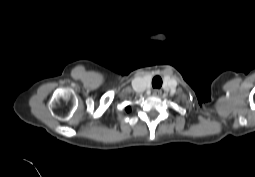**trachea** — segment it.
Returning a JSON list of instances; mask_svg holds the SVG:
<instances>
[{"instance_id": "trachea-1", "label": "trachea", "mask_w": 255, "mask_h": 177, "mask_svg": "<svg viewBox=\"0 0 255 177\" xmlns=\"http://www.w3.org/2000/svg\"><path fill=\"white\" fill-rule=\"evenodd\" d=\"M153 88L159 89L162 86V79L160 76H155L152 80Z\"/></svg>"}]
</instances>
